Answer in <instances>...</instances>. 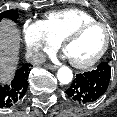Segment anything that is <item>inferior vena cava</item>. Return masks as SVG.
Wrapping results in <instances>:
<instances>
[{"label":"inferior vena cava","instance_id":"602c4592","mask_svg":"<svg viewBox=\"0 0 117 117\" xmlns=\"http://www.w3.org/2000/svg\"><path fill=\"white\" fill-rule=\"evenodd\" d=\"M26 59L33 65H39L46 61V54L42 51H32L27 54Z\"/></svg>","mask_w":117,"mask_h":117}]
</instances>
